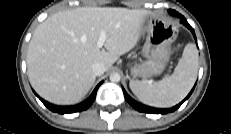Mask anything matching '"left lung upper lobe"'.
Segmentation results:
<instances>
[{
	"mask_svg": "<svg viewBox=\"0 0 231 134\" xmlns=\"http://www.w3.org/2000/svg\"><path fill=\"white\" fill-rule=\"evenodd\" d=\"M169 12H170L172 15H176V13H175L174 10H169Z\"/></svg>",
	"mask_w": 231,
	"mask_h": 134,
	"instance_id": "1",
	"label": "left lung upper lobe"
}]
</instances>
